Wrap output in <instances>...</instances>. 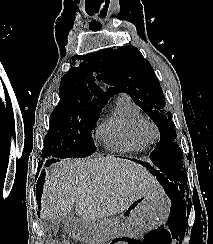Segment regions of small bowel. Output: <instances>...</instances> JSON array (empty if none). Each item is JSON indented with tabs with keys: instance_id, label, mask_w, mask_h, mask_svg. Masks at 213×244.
Listing matches in <instances>:
<instances>
[{
	"instance_id": "1",
	"label": "small bowel",
	"mask_w": 213,
	"mask_h": 244,
	"mask_svg": "<svg viewBox=\"0 0 213 244\" xmlns=\"http://www.w3.org/2000/svg\"><path fill=\"white\" fill-rule=\"evenodd\" d=\"M112 244H128V242L125 240H115V241H113Z\"/></svg>"
}]
</instances>
